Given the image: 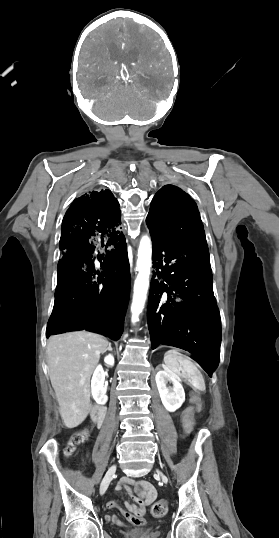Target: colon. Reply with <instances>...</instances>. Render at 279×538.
I'll return each instance as SVG.
<instances>
[{"label":"colon","mask_w":279,"mask_h":538,"mask_svg":"<svg viewBox=\"0 0 279 538\" xmlns=\"http://www.w3.org/2000/svg\"><path fill=\"white\" fill-rule=\"evenodd\" d=\"M194 402L199 405L200 399L198 397L194 398ZM185 428L188 433H191L193 431V420L191 417H187L184 420ZM89 438V432L88 430H81L74 435L69 440L68 446L66 448V454L70 455L74 452V450L82 445L84 442H86ZM168 511V503L166 500L161 499L156 501L152 507H151V513L154 517H163L166 515Z\"/></svg>","instance_id":"obj_1"}]
</instances>
